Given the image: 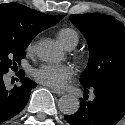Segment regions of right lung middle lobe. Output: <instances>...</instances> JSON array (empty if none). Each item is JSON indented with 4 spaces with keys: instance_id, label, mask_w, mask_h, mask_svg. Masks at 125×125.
Returning a JSON list of instances; mask_svg holds the SVG:
<instances>
[{
    "instance_id": "obj_1",
    "label": "right lung middle lobe",
    "mask_w": 125,
    "mask_h": 125,
    "mask_svg": "<svg viewBox=\"0 0 125 125\" xmlns=\"http://www.w3.org/2000/svg\"><path fill=\"white\" fill-rule=\"evenodd\" d=\"M30 42L18 41L10 37L0 35V73H7L8 70L20 63V60L25 57L24 50Z\"/></svg>"
}]
</instances>
